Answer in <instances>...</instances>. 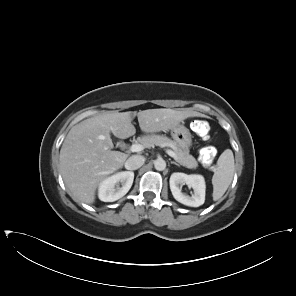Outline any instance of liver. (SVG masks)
<instances>
[{"instance_id":"6515ba94","label":"liver","mask_w":296,"mask_h":296,"mask_svg":"<svg viewBox=\"0 0 296 296\" xmlns=\"http://www.w3.org/2000/svg\"><path fill=\"white\" fill-rule=\"evenodd\" d=\"M136 112H107L81 121L68 132L59 156L63 180L75 201L92 204L100 183L123 167L128 155L113 151L110 133L126 139L136 133L131 123ZM203 114L173 109H147L137 113L140 129L146 133L168 131L189 117Z\"/></svg>"}]
</instances>
